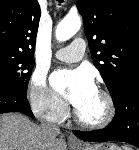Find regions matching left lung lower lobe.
Returning a JSON list of instances; mask_svg holds the SVG:
<instances>
[{"instance_id":"left-lung-lower-lobe-1","label":"left lung lower lobe","mask_w":139,"mask_h":150,"mask_svg":"<svg viewBox=\"0 0 139 150\" xmlns=\"http://www.w3.org/2000/svg\"><path fill=\"white\" fill-rule=\"evenodd\" d=\"M113 103L116 114L106 128L88 132L74 130V134L84 141H121L139 148V75L123 85Z\"/></svg>"}]
</instances>
